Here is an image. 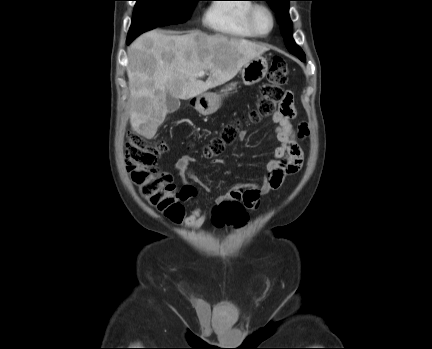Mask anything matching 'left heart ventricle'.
Returning <instances> with one entry per match:
<instances>
[{
  "mask_svg": "<svg viewBox=\"0 0 432 349\" xmlns=\"http://www.w3.org/2000/svg\"><path fill=\"white\" fill-rule=\"evenodd\" d=\"M255 22L260 32H267L271 27V19L267 12L260 10L256 13Z\"/></svg>",
  "mask_w": 432,
  "mask_h": 349,
  "instance_id": "b2bd125f",
  "label": "left heart ventricle"
}]
</instances>
